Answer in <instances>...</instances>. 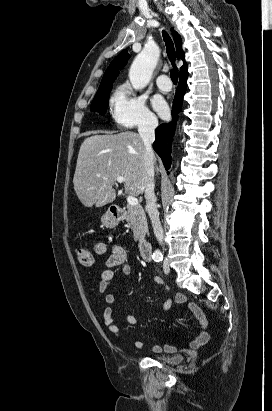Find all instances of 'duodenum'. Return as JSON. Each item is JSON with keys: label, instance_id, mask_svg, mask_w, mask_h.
<instances>
[{"label": "duodenum", "instance_id": "obj_1", "mask_svg": "<svg viewBox=\"0 0 272 411\" xmlns=\"http://www.w3.org/2000/svg\"><path fill=\"white\" fill-rule=\"evenodd\" d=\"M109 212L115 219H119L124 215V213L126 212V209L118 205H112L109 208ZM138 248H139L141 257L145 261L150 262L151 256H152V248L149 245L148 241L146 239H140L138 243Z\"/></svg>", "mask_w": 272, "mask_h": 411}]
</instances>
